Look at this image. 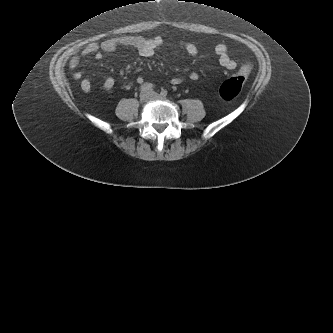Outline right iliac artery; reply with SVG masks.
I'll list each match as a JSON object with an SVG mask.
<instances>
[{"mask_svg": "<svg viewBox=\"0 0 333 333\" xmlns=\"http://www.w3.org/2000/svg\"><path fill=\"white\" fill-rule=\"evenodd\" d=\"M153 84L149 83V84H144L140 87V91H149V90H153Z\"/></svg>", "mask_w": 333, "mask_h": 333, "instance_id": "1", "label": "right iliac artery"}]
</instances>
